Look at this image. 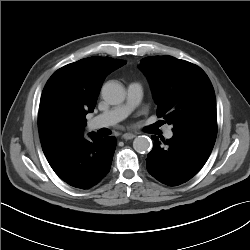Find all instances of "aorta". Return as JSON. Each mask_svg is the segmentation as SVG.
<instances>
[{
    "label": "aorta",
    "instance_id": "1",
    "mask_svg": "<svg viewBox=\"0 0 250 250\" xmlns=\"http://www.w3.org/2000/svg\"><path fill=\"white\" fill-rule=\"evenodd\" d=\"M101 94L103 99L111 105H117L124 101L125 90L116 82H107L103 85ZM152 147V142L147 136H138L133 141V148L138 153H146Z\"/></svg>",
    "mask_w": 250,
    "mask_h": 250
}]
</instances>
